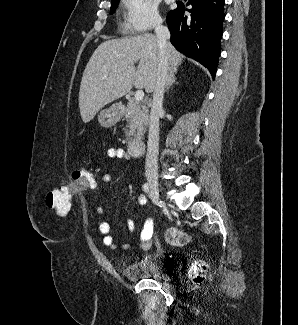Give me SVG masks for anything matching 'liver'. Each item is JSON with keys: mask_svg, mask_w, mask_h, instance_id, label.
<instances>
[{"mask_svg": "<svg viewBox=\"0 0 298 325\" xmlns=\"http://www.w3.org/2000/svg\"><path fill=\"white\" fill-rule=\"evenodd\" d=\"M168 64L177 70L184 58L171 42H167ZM158 38L151 32L104 40L82 74L79 88V108L83 122H89L109 102L130 92L132 86L152 92L158 66ZM139 60L138 66L135 62Z\"/></svg>", "mask_w": 298, "mask_h": 325, "instance_id": "liver-1", "label": "liver"}]
</instances>
